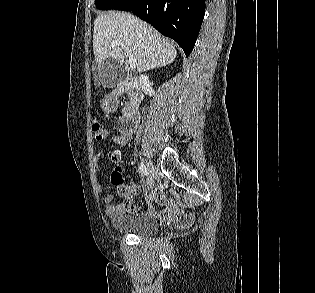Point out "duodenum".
Instances as JSON below:
<instances>
[{
  "mask_svg": "<svg viewBox=\"0 0 315 293\" xmlns=\"http://www.w3.org/2000/svg\"><path fill=\"white\" fill-rule=\"evenodd\" d=\"M130 85H131L130 80L124 82V84L117 89V93L118 94L124 93L126 90L129 89ZM140 118H141L140 109L137 105H134L132 108L128 110V112L125 115H123V117L120 120L119 128L121 132L125 134L132 133L137 128V125L140 122Z\"/></svg>",
  "mask_w": 315,
  "mask_h": 293,
  "instance_id": "1",
  "label": "duodenum"
}]
</instances>
